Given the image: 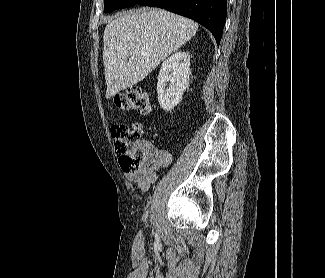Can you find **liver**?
Here are the masks:
<instances>
[{
    "mask_svg": "<svg viewBox=\"0 0 325 278\" xmlns=\"http://www.w3.org/2000/svg\"><path fill=\"white\" fill-rule=\"evenodd\" d=\"M197 30L193 20L162 9L131 10L109 21L103 36L106 98L142 81Z\"/></svg>",
    "mask_w": 325,
    "mask_h": 278,
    "instance_id": "liver-1",
    "label": "liver"
}]
</instances>
